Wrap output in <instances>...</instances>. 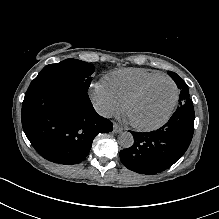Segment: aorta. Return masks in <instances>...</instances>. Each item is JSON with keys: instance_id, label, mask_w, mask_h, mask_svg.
<instances>
[{"instance_id": "762f6f07", "label": "aorta", "mask_w": 219, "mask_h": 219, "mask_svg": "<svg viewBox=\"0 0 219 219\" xmlns=\"http://www.w3.org/2000/svg\"><path fill=\"white\" fill-rule=\"evenodd\" d=\"M118 144L123 148H129L134 144L133 135L130 132H122L118 135Z\"/></svg>"}]
</instances>
